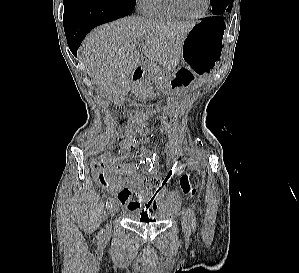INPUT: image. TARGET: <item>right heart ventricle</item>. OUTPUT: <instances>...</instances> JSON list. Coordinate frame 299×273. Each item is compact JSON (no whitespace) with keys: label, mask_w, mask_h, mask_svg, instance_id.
<instances>
[{"label":"right heart ventricle","mask_w":299,"mask_h":273,"mask_svg":"<svg viewBox=\"0 0 299 273\" xmlns=\"http://www.w3.org/2000/svg\"><path fill=\"white\" fill-rule=\"evenodd\" d=\"M143 14L158 20H177L183 17L173 8L170 0H147Z\"/></svg>","instance_id":"obj_1"}]
</instances>
